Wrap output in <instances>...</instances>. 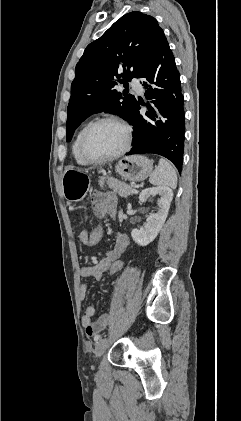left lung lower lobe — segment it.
<instances>
[{
    "label": "left lung lower lobe",
    "mask_w": 241,
    "mask_h": 421,
    "mask_svg": "<svg viewBox=\"0 0 241 421\" xmlns=\"http://www.w3.org/2000/svg\"><path fill=\"white\" fill-rule=\"evenodd\" d=\"M143 78L145 96L151 104L137 102L129 121L134 127L133 147L127 155L154 153L171 160L182 170L184 149V97L179 71L169 44L161 30L149 55L137 73ZM140 104L147 108L139 113Z\"/></svg>",
    "instance_id": "1"
}]
</instances>
